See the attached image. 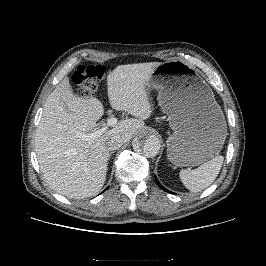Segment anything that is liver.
<instances>
[{"label": "liver", "mask_w": 266, "mask_h": 266, "mask_svg": "<svg viewBox=\"0 0 266 266\" xmlns=\"http://www.w3.org/2000/svg\"><path fill=\"white\" fill-rule=\"evenodd\" d=\"M160 62L117 66L107 76L112 109L134 118L119 121L91 141L77 133L97 131L103 116L102 103L94 96H78L64 78L47 97L35 135V151L45 181L57 193L83 199L96 195L106 180L110 158L106 141L121 135L126 142L144 127L152 113L147 82Z\"/></svg>", "instance_id": "liver-1"}]
</instances>
